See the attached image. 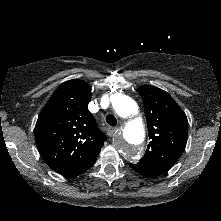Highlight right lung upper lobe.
<instances>
[{
  "mask_svg": "<svg viewBox=\"0 0 221 221\" xmlns=\"http://www.w3.org/2000/svg\"><path fill=\"white\" fill-rule=\"evenodd\" d=\"M91 88L82 80L62 83L41 111L35 141L47 165L66 174L87 165L99 154L105 134L88 110Z\"/></svg>",
  "mask_w": 221,
  "mask_h": 221,
  "instance_id": "right-lung-upper-lobe-1",
  "label": "right lung upper lobe"
}]
</instances>
